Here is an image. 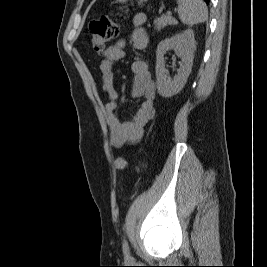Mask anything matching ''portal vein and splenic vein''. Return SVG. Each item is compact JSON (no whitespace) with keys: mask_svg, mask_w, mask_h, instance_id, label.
<instances>
[{"mask_svg":"<svg viewBox=\"0 0 267 267\" xmlns=\"http://www.w3.org/2000/svg\"><path fill=\"white\" fill-rule=\"evenodd\" d=\"M167 15H169V16H170V15H171V11H167Z\"/></svg>","mask_w":267,"mask_h":267,"instance_id":"obj_1","label":"portal vein and splenic vein"}]
</instances>
